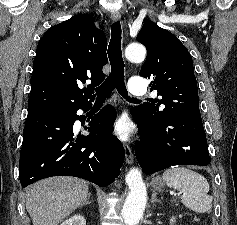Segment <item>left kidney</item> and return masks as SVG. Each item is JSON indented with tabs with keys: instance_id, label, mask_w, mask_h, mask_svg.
<instances>
[{
	"instance_id": "obj_1",
	"label": "left kidney",
	"mask_w": 237,
	"mask_h": 225,
	"mask_svg": "<svg viewBox=\"0 0 237 225\" xmlns=\"http://www.w3.org/2000/svg\"><path fill=\"white\" fill-rule=\"evenodd\" d=\"M174 223H175V217H171V219H170V225H174Z\"/></svg>"
}]
</instances>
